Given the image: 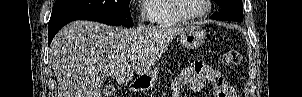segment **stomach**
Instances as JSON below:
<instances>
[{
	"instance_id": "obj_1",
	"label": "stomach",
	"mask_w": 302,
	"mask_h": 97,
	"mask_svg": "<svg viewBox=\"0 0 302 97\" xmlns=\"http://www.w3.org/2000/svg\"><path fill=\"white\" fill-rule=\"evenodd\" d=\"M206 39V33L199 25L186 26L179 35L180 43L185 48H193L202 45ZM158 70H151L141 75L138 84L142 87H151L157 80Z\"/></svg>"
}]
</instances>
